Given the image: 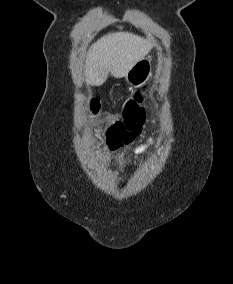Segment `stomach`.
<instances>
[{
    "label": "stomach",
    "mask_w": 233,
    "mask_h": 284,
    "mask_svg": "<svg viewBox=\"0 0 233 284\" xmlns=\"http://www.w3.org/2000/svg\"><path fill=\"white\" fill-rule=\"evenodd\" d=\"M151 58H143L138 61L125 76L127 83L132 87H140L152 75Z\"/></svg>",
    "instance_id": "0dacf381"
}]
</instances>
